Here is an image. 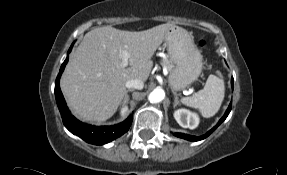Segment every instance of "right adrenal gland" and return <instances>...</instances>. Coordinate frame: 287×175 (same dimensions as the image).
<instances>
[{"label": "right adrenal gland", "instance_id": "obj_1", "mask_svg": "<svg viewBox=\"0 0 287 175\" xmlns=\"http://www.w3.org/2000/svg\"><path fill=\"white\" fill-rule=\"evenodd\" d=\"M129 91H132V90H128L127 93H128ZM127 93H126V95H125L123 104H126V103L128 102V100H129V95H128Z\"/></svg>", "mask_w": 287, "mask_h": 175}]
</instances>
